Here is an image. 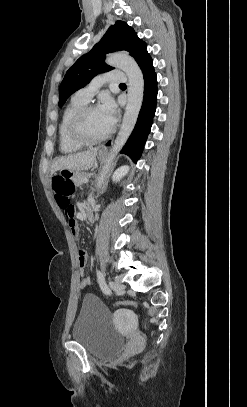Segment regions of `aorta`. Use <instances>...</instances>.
Returning a JSON list of instances; mask_svg holds the SVG:
<instances>
[{
  "instance_id": "aorta-1",
  "label": "aorta",
  "mask_w": 247,
  "mask_h": 407,
  "mask_svg": "<svg viewBox=\"0 0 247 407\" xmlns=\"http://www.w3.org/2000/svg\"><path fill=\"white\" fill-rule=\"evenodd\" d=\"M106 63L122 69L128 77L127 105L123 122L117 134L110 155L97 178V185L101 187L110 171L112 162L130 136L141 109L144 95L143 74L136 61L126 53H114L106 58Z\"/></svg>"
}]
</instances>
